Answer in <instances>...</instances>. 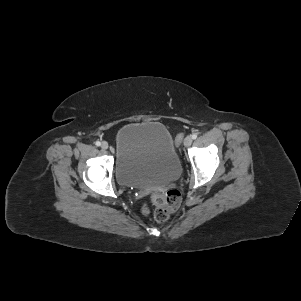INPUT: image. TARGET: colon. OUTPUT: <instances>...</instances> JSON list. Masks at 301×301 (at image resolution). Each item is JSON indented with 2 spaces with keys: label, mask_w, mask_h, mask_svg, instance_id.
<instances>
[{
  "label": "colon",
  "mask_w": 301,
  "mask_h": 301,
  "mask_svg": "<svg viewBox=\"0 0 301 301\" xmlns=\"http://www.w3.org/2000/svg\"><path fill=\"white\" fill-rule=\"evenodd\" d=\"M184 135L178 134L175 140L176 145H179ZM150 201L154 206L153 216L157 222H166L171 214L176 211L181 204L180 191L173 189L166 192H155L151 195ZM142 212L145 215L150 213L149 203H145L142 207Z\"/></svg>",
  "instance_id": "colon-1"
}]
</instances>
